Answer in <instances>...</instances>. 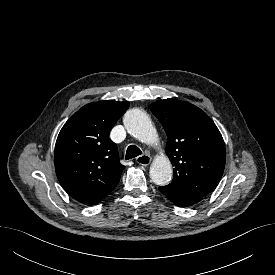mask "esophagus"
I'll return each instance as SVG.
<instances>
[{
  "label": "esophagus",
  "instance_id": "obj_1",
  "mask_svg": "<svg viewBox=\"0 0 275 275\" xmlns=\"http://www.w3.org/2000/svg\"><path fill=\"white\" fill-rule=\"evenodd\" d=\"M136 162L141 166H147L151 163V156L148 154L140 155L136 158Z\"/></svg>",
  "mask_w": 275,
  "mask_h": 275
}]
</instances>
